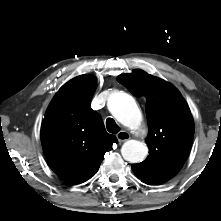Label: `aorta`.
<instances>
[{
    "label": "aorta",
    "instance_id": "obj_1",
    "mask_svg": "<svg viewBox=\"0 0 221 221\" xmlns=\"http://www.w3.org/2000/svg\"><path fill=\"white\" fill-rule=\"evenodd\" d=\"M108 109L122 125L137 129L142 121V114L132 96L125 92H115L108 99ZM123 158L130 163H139L148 155V147L145 143L129 140L122 148Z\"/></svg>",
    "mask_w": 221,
    "mask_h": 221
}]
</instances>
